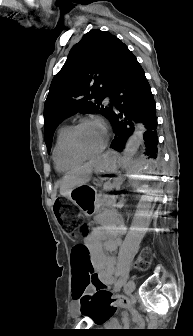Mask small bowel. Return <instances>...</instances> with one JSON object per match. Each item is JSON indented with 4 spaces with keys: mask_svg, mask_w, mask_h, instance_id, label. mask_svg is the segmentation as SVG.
Returning <instances> with one entry per match:
<instances>
[{
    "mask_svg": "<svg viewBox=\"0 0 193 336\" xmlns=\"http://www.w3.org/2000/svg\"><path fill=\"white\" fill-rule=\"evenodd\" d=\"M123 231L122 221L116 213L109 210L102 211L100 225L92 231L84 242L92 269L98 279L106 286L113 284L119 270L121 259L115 258L110 253L121 247L122 241L119 235ZM93 292V287L90 284L87 285L85 293ZM116 323L115 318H110L108 321L109 326H114Z\"/></svg>",
    "mask_w": 193,
    "mask_h": 336,
    "instance_id": "small-bowel-1",
    "label": "small bowel"
}]
</instances>
